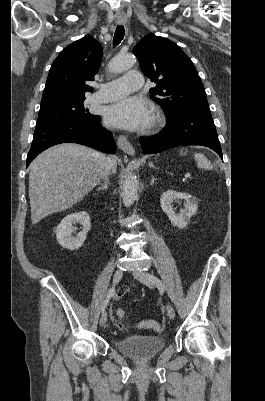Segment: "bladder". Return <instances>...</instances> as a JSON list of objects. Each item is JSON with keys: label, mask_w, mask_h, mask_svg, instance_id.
<instances>
[{"label": "bladder", "mask_w": 265, "mask_h": 401, "mask_svg": "<svg viewBox=\"0 0 265 401\" xmlns=\"http://www.w3.org/2000/svg\"><path fill=\"white\" fill-rule=\"evenodd\" d=\"M113 342L117 350L139 359L157 355L165 345V339L158 336H132Z\"/></svg>", "instance_id": "obj_1"}]
</instances>
